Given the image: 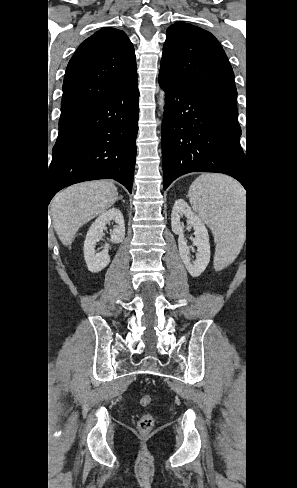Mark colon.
<instances>
[{"instance_id": "colon-1", "label": "colon", "mask_w": 297, "mask_h": 488, "mask_svg": "<svg viewBox=\"0 0 297 488\" xmlns=\"http://www.w3.org/2000/svg\"><path fill=\"white\" fill-rule=\"evenodd\" d=\"M150 402L151 398L149 395H143L140 398V404L142 406H147L148 404H150ZM153 425L154 418L150 414H143L138 421V429L143 433L149 432L153 428Z\"/></svg>"}]
</instances>
